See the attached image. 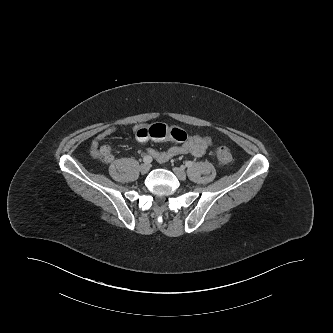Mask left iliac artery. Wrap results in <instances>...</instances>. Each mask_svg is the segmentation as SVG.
<instances>
[{
	"label": "left iliac artery",
	"mask_w": 333,
	"mask_h": 333,
	"mask_svg": "<svg viewBox=\"0 0 333 333\" xmlns=\"http://www.w3.org/2000/svg\"><path fill=\"white\" fill-rule=\"evenodd\" d=\"M185 166L188 167V168L192 167L193 166V162L192 161H186Z\"/></svg>",
	"instance_id": "1"
}]
</instances>
